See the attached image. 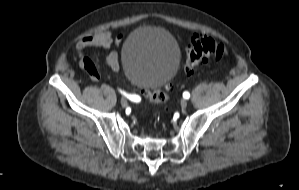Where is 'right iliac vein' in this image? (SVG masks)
Listing matches in <instances>:
<instances>
[{
  "label": "right iliac vein",
  "instance_id": "obj_1",
  "mask_svg": "<svg viewBox=\"0 0 299 190\" xmlns=\"http://www.w3.org/2000/svg\"><path fill=\"white\" fill-rule=\"evenodd\" d=\"M127 104H128V101H127V99H125V98H122V99H121V105H122L123 107H126V106H127Z\"/></svg>",
  "mask_w": 299,
  "mask_h": 190
}]
</instances>
